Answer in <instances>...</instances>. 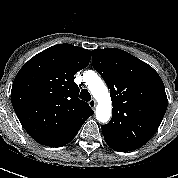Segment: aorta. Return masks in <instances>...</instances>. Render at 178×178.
Segmentation results:
<instances>
[{
	"instance_id": "1",
	"label": "aorta",
	"mask_w": 178,
	"mask_h": 178,
	"mask_svg": "<svg viewBox=\"0 0 178 178\" xmlns=\"http://www.w3.org/2000/svg\"><path fill=\"white\" fill-rule=\"evenodd\" d=\"M93 97L98 102L96 107V118L101 123H107L110 120L112 104L107 86L97 74H91L86 81Z\"/></svg>"
}]
</instances>
